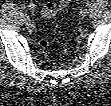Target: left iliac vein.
Wrapping results in <instances>:
<instances>
[{
  "label": "left iliac vein",
  "instance_id": "4c4485c4",
  "mask_svg": "<svg viewBox=\"0 0 111 106\" xmlns=\"http://www.w3.org/2000/svg\"><path fill=\"white\" fill-rule=\"evenodd\" d=\"M88 15V10L87 9H83L82 11H81V16L82 17H86Z\"/></svg>",
  "mask_w": 111,
  "mask_h": 106
}]
</instances>
